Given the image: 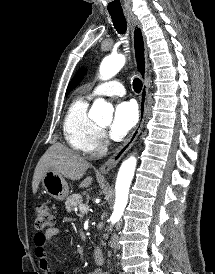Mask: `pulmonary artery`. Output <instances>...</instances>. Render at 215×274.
<instances>
[{
	"mask_svg": "<svg viewBox=\"0 0 215 274\" xmlns=\"http://www.w3.org/2000/svg\"><path fill=\"white\" fill-rule=\"evenodd\" d=\"M125 94L124 86L117 80H111L97 85L90 97L105 95V96H123Z\"/></svg>",
	"mask_w": 215,
	"mask_h": 274,
	"instance_id": "1",
	"label": "pulmonary artery"
}]
</instances>
